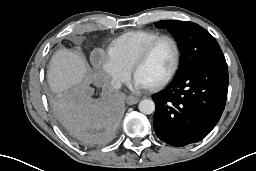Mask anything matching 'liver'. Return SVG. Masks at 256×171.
I'll list each match as a JSON object with an SVG mask.
<instances>
[{"label": "liver", "instance_id": "obj_1", "mask_svg": "<svg viewBox=\"0 0 256 171\" xmlns=\"http://www.w3.org/2000/svg\"><path fill=\"white\" fill-rule=\"evenodd\" d=\"M87 71V63L81 55L69 49H61L51 58L48 83L52 91L61 96L71 86L85 87L88 83Z\"/></svg>", "mask_w": 256, "mask_h": 171}]
</instances>
